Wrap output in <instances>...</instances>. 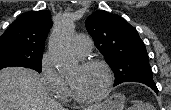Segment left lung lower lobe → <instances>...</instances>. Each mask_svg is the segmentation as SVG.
Segmentation results:
<instances>
[{
	"mask_svg": "<svg viewBox=\"0 0 171 110\" xmlns=\"http://www.w3.org/2000/svg\"><path fill=\"white\" fill-rule=\"evenodd\" d=\"M143 84L149 86L158 94V89H157L156 84L154 82H147V83H143Z\"/></svg>",
	"mask_w": 171,
	"mask_h": 110,
	"instance_id": "1",
	"label": "left lung lower lobe"
}]
</instances>
